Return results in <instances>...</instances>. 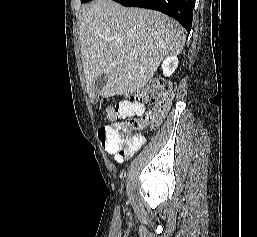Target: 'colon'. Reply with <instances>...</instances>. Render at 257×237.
<instances>
[{"mask_svg": "<svg viewBox=\"0 0 257 237\" xmlns=\"http://www.w3.org/2000/svg\"><path fill=\"white\" fill-rule=\"evenodd\" d=\"M173 92L174 85L163 81L155 82L139 92L136 97L147 101L150 108L143 117L118 122L114 128L102 124L98 135L104 148L107 145L110 148L121 147L128 141L130 133L155 128L169 108Z\"/></svg>", "mask_w": 257, "mask_h": 237, "instance_id": "5ec220e1", "label": "colon"}]
</instances>
